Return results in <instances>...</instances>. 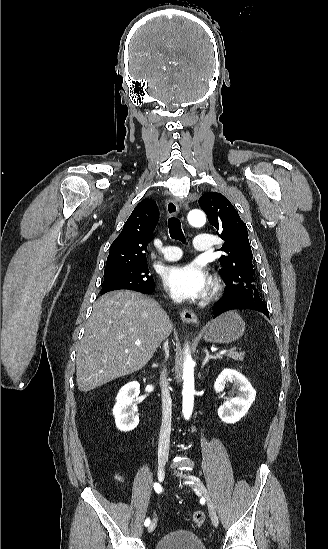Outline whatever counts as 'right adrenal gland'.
Listing matches in <instances>:
<instances>
[{
  "label": "right adrenal gland",
  "instance_id": "2a0ac1e0",
  "mask_svg": "<svg viewBox=\"0 0 328 549\" xmlns=\"http://www.w3.org/2000/svg\"><path fill=\"white\" fill-rule=\"evenodd\" d=\"M164 349L166 351V359H168V357H169V347H168V345H166V343L164 345Z\"/></svg>",
  "mask_w": 328,
  "mask_h": 549
}]
</instances>
